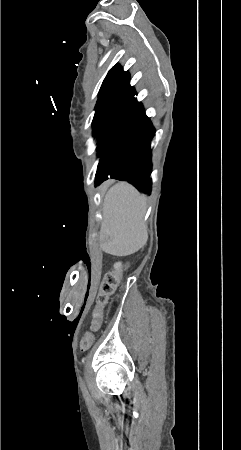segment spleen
<instances>
[{
    "label": "spleen",
    "mask_w": 241,
    "mask_h": 450,
    "mask_svg": "<svg viewBox=\"0 0 241 450\" xmlns=\"http://www.w3.org/2000/svg\"><path fill=\"white\" fill-rule=\"evenodd\" d=\"M103 224L100 242L103 252L111 256H130L145 246L147 226L143 222L146 198L138 190L119 182L108 190L103 204Z\"/></svg>",
    "instance_id": "spleen-1"
}]
</instances>
